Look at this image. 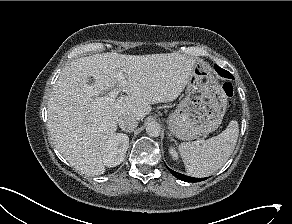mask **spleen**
I'll use <instances>...</instances> for the list:
<instances>
[{
	"instance_id": "3e777b00",
	"label": "spleen",
	"mask_w": 292,
	"mask_h": 224,
	"mask_svg": "<svg viewBox=\"0 0 292 224\" xmlns=\"http://www.w3.org/2000/svg\"><path fill=\"white\" fill-rule=\"evenodd\" d=\"M239 135L236 120L230 121L219 135L207 139L202 145L181 143L179 153L189 176L207 177L220 169L231 156Z\"/></svg>"
}]
</instances>
